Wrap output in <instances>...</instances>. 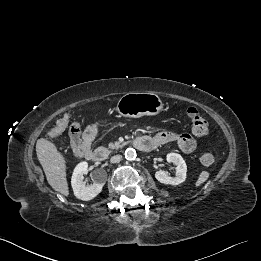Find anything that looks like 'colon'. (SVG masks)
<instances>
[{"label": "colon", "instance_id": "1", "mask_svg": "<svg viewBox=\"0 0 261 261\" xmlns=\"http://www.w3.org/2000/svg\"><path fill=\"white\" fill-rule=\"evenodd\" d=\"M188 117L191 121L192 132L195 136L201 137L208 133V122L207 120L195 109L189 108L187 110ZM69 125V116H63L57 124L51 128L49 135L56 137L60 135ZM70 136L72 141H76L79 138L81 124L77 121L72 122L69 125ZM214 155L211 152L202 153L199 156V163L202 166H210L214 162Z\"/></svg>", "mask_w": 261, "mask_h": 261}]
</instances>
